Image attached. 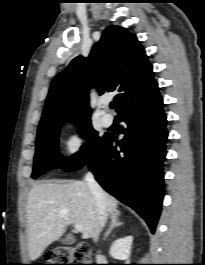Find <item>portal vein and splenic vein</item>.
Listing matches in <instances>:
<instances>
[{
  "label": "portal vein and splenic vein",
  "mask_w": 205,
  "mask_h": 265,
  "mask_svg": "<svg viewBox=\"0 0 205 265\" xmlns=\"http://www.w3.org/2000/svg\"><path fill=\"white\" fill-rule=\"evenodd\" d=\"M75 230L76 231H82L83 230V226L81 224H75Z\"/></svg>",
  "instance_id": "obj_1"
}]
</instances>
